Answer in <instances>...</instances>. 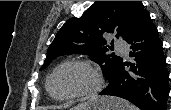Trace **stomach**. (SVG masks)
Here are the masks:
<instances>
[{
  "mask_svg": "<svg viewBox=\"0 0 171 110\" xmlns=\"http://www.w3.org/2000/svg\"><path fill=\"white\" fill-rule=\"evenodd\" d=\"M120 103H124V101L116 98H101L84 105L73 107L70 110H125L123 106H120Z\"/></svg>",
  "mask_w": 171,
  "mask_h": 110,
  "instance_id": "stomach-1",
  "label": "stomach"
}]
</instances>
